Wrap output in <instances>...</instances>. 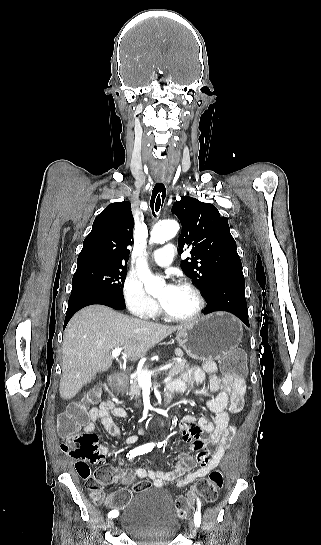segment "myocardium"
Returning a JSON list of instances; mask_svg holds the SVG:
<instances>
[{"label":"myocardium","instance_id":"f54148a6","mask_svg":"<svg viewBox=\"0 0 321 545\" xmlns=\"http://www.w3.org/2000/svg\"><path fill=\"white\" fill-rule=\"evenodd\" d=\"M178 287L183 288V289H187V290L191 291L195 295L196 300H197V306H196L195 311L190 315L181 316V315L171 314V313L167 312L163 308V306H161L160 309H161V312H162L163 316L166 319L171 320V321H175V322H193V321H196L203 314V312L205 310V307H206V300H205V297H204L202 291L195 284H193L192 282H189V281H181L178 284Z\"/></svg>","mask_w":321,"mask_h":545}]
</instances>
